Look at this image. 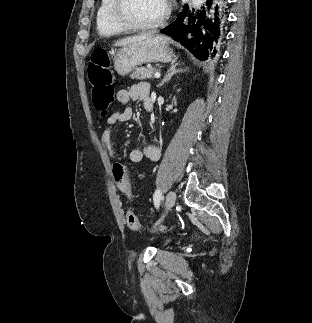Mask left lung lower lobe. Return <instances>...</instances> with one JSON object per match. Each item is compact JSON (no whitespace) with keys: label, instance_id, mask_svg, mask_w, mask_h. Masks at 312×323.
<instances>
[{"label":"left lung lower lobe","instance_id":"left-lung-lower-lobe-1","mask_svg":"<svg viewBox=\"0 0 312 323\" xmlns=\"http://www.w3.org/2000/svg\"><path fill=\"white\" fill-rule=\"evenodd\" d=\"M224 0H207L206 7L190 13L184 7L177 19L161 30L190 50L198 59L214 57L220 49L225 32Z\"/></svg>","mask_w":312,"mask_h":323}]
</instances>
